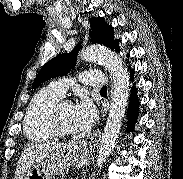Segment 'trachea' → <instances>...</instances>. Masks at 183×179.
<instances>
[{
    "label": "trachea",
    "instance_id": "trachea-1",
    "mask_svg": "<svg viewBox=\"0 0 183 179\" xmlns=\"http://www.w3.org/2000/svg\"><path fill=\"white\" fill-rule=\"evenodd\" d=\"M101 91H107V87L106 86L102 87Z\"/></svg>",
    "mask_w": 183,
    "mask_h": 179
}]
</instances>
